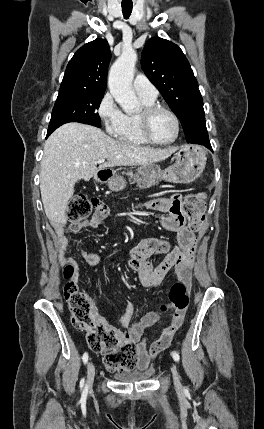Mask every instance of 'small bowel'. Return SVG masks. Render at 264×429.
<instances>
[{"label": "small bowel", "mask_w": 264, "mask_h": 429, "mask_svg": "<svg viewBox=\"0 0 264 429\" xmlns=\"http://www.w3.org/2000/svg\"><path fill=\"white\" fill-rule=\"evenodd\" d=\"M182 196L174 194L167 198H155L147 201L145 207L166 213L159 217L157 224L167 230L177 232V245L170 249L168 242L156 238H143L139 245L131 251L128 266L137 271L142 285L146 288L159 286L166 275L174 270L175 276L187 285L191 283L190 268L194 262V252L197 244L196 236L185 226V218L181 211ZM106 209L102 214H95L90 220L74 221L69 224L68 231L78 233L84 228H97L103 219ZM71 245V239L62 227L56 228V246L59 258L75 265V261L66 253ZM156 253H164L165 257L159 265H154L149 259ZM81 257L90 266L96 267L101 262V256L97 253L80 250ZM79 280V275L75 276ZM133 306L127 304L120 317V324L128 327V334L136 345L137 358L134 366L144 371L156 356L164 351L172 342L174 334L181 327L184 313L174 312L170 317L169 326L161 336L150 344L144 337V331L153 326L160 318L157 312H148L138 322L132 323Z\"/></svg>", "instance_id": "c3829d8e"}]
</instances>
